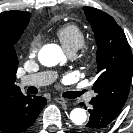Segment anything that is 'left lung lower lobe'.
<instances>
[{"instance_id":"0a47b994","label":"left lung lower lobe","mask_w":133,"mask_h":133,"mask_svg":"<svg viewBox=\"0 0 133 133\" xmlns=\"http://www.w3.org/2000/svg\"><path fill=\"white\" fill-rule=\"evenodd\" d=\"M90 119L82 127V133H99L107 128L122 111L121 107L110 104L104 99L94 97L90 101Z\"/></svg>"}]
</instances>
